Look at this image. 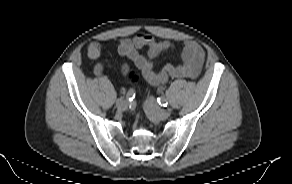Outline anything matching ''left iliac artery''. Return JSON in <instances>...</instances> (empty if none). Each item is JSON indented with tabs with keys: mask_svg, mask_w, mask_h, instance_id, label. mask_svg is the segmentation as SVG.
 I'll use <instances>...</instances> for the list:
<instances>
[{
	"mask_svg": "<svg viewBox=\"0 0 292 184\" xmlns=\"http://www.w3.org/2000/svg\"><path fill=\"white\" fill-rule=\"evenodd\" d=\"M157 102L164 107L168 105V100L165 97H158Z\"/></svg>",
	"mask_w": 292,
	"mask_h": 184,
	"instance_id": "obj_1",
	"label": "left iliac artery"
}]
</instances>
